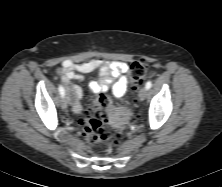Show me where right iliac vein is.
<instances>
[{
  "instance_id": "63e3f726",
  "label": "right iliac vein",
  "mask_w": 222,
  "mask_h": 187,
  "mask_svg": "<svg viewBox=\"0 0 222 187\" xmlns=\"http://www.w3.org/2000/svg\"><path fill=\"white\" fill-rule=\"evenodd\" d=\"M68 103H69L68 96L63 97L62 100H61V107H62V109L65 110L67 108V106H68Z\"/></svg>"
}]
</instances>
